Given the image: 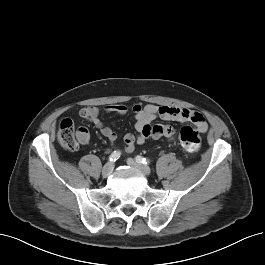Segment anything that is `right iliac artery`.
<instances>
[{
    "label": "right iliac artery",
    "instance_id": "obj_1",
    "mask_svg": "<svg viewBox=\"0 0 265 265\" xmlns=\"http://www.w3.org/2000/svg\"><path fill=\"white\" fill-rule=\"evenodd\" d=\"M121 155V152L120 151H114L110 156H109V161L111 162H115L116 160L119 159Z\"/></svg>",
    "mask_w": 265,
    "mask_h": 265
}]
</instances>
